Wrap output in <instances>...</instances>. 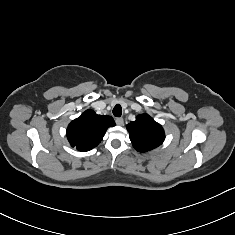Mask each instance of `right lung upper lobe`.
<instances>
[{
	"label": "right lung upper lobe",
	"instance_id": "1",
	"mask_svg": "<svg viewBox=\"0 0 235 235\" xmlns=\"http://www.w3.org/2000/svg\"><path fill=\"white\" fill-rule=\"evenodd\" d=\"M115 126L111 116L97 115L88 109L73 120L67 128V138L72 147L79 151H88L102 140L106 130Z\"/></svg>",
	"mask_w": 235,
	"mask_h": 235
}]
</instances>
